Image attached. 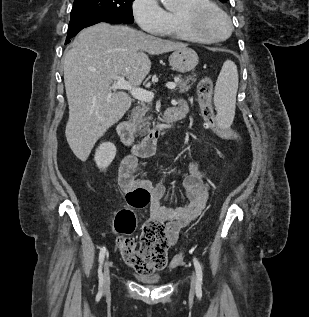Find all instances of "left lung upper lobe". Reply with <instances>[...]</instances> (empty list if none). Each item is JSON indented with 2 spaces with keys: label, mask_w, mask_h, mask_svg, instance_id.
I'll return each mask as SVG.
<instances>
[{
  "label": "left lung upper lobe",
  "mask_w": 309,
  "mask_h": 317,
  "mask_svg": "<svg viewBox=\"0 0 309 317\" xmlns=\"http://www.w3.org/2000/svg\"><path fill=\"white\" fill-rule=\"evenodd\" d=\"M221 2H227V1H229V0H220Z\"/></svg>",
  "instance_id": "left-lung-upper-lobe-1"
}]
</instances>
